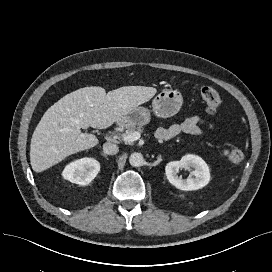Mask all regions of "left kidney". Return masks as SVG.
I'll use <instances>...</instances> for the list:
<instances>
[{
    "label": "left kidney",
    "instance_id": "5707ae66",
    "mask_svg": "<svg viewBox=\"0 0 272 272\" xmlns=\"http://www.w3.org/2000/svg\"><path fill=\"white\" fill-rule=\"evenodd\" d=\"M192 168L193 177L182 179L178 176L180 168ZM168 181L176 188L184 191L198 190L210 181V171L206 162L194 154L184 155L180 161H171L165 167Z\"/></svg>",
    "mask_w": 272,
    "mask_h": 272
}]
</instances>
